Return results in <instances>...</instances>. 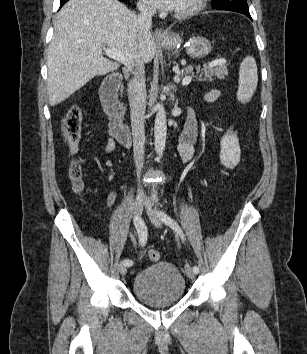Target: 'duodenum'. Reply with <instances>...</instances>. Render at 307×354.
I'll return each instance as SVG.
<instances>
[{
  "instance_id": "410a0bca",
  "label": "duodenum",
  "mask_w": 307,
  "mask_h": 354,
  "mask_svg": "<svg viewBox=\"0 0 307 354\" xmlns=\"http://www.w3.org/2000/svg\"><path fill=\"white\" fill-rule=\"evenodd\" d=\"M121 83V74H110L102 83L100 97L109 119L111 134L118 143L127 146L131 143V133L129 126L124 122V110L118 98Z\"/></svg>"
}]
</instances>
